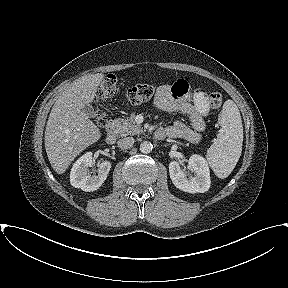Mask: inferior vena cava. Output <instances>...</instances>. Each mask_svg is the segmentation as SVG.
<instances>
[{
	"label": "inferior vena cava",
	"instance_id": "obj_1",
	"mask_svg": "<svg viewBox=\"0 0 288 288\" xmlns=\"http://www.w3.org/2000/svg\"><path fill=\"white\" fill-rule=\"evenodd\" d=\"M134 142L135 141L133 137H125L120 139L117 144L121 149H128L133 146Z\"/></svg>",
	"mask_w": 288,
	"mask_h": 288
}]
</instances>
